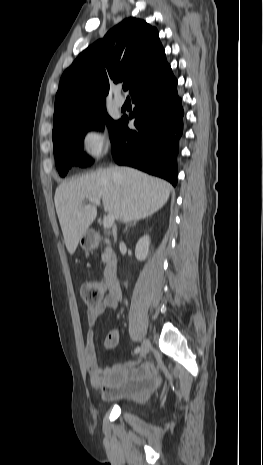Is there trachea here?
<instances>
[{"label": "trachea", "mask_w": 263, "mask_h": 465, "mask_svg": "<svg viewBox=\"0 0 263 465\" xmlns=\"http://www.w3.org/2000/svg\"><path fill=\"white\" fill-rule=\"evenodd\" d=\"M128 87H129V86H128L127 84L123 85V90H124V91H127V90H128Z\"/></svg>", "instance_id": "trachea-1"}]
</instances>
